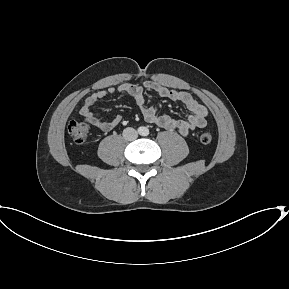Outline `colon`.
<instances>
[{
  "mask_svg": "<svg viewBox=\"0 0 289 289\" xmlns=\"http://www.w3.org/2000/svg\"><path fill=\"white\" fill-rule=\"evenodd\" d=\"M89 124L86 120L73 119L68 123V133L76 143L86 142L89 134ZM212 134L208 130L200 133L199 139L203 144H209L212 141Z\"/></svg>",
  "mask_w": 289,
  "mask_h": 289,
  "instance_id": "1",
  "label": "colon"
}]
</instances>
